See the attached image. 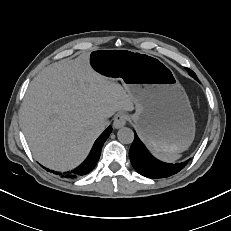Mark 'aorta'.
I'll return each mask as SVG.
<instances>
[{
	"label": "aorta",
	"mask_w": 231,
	"mask_h": 231,
	"mask_svg": "<svg viewBox=\"0 0 231 231\" xmlns=\"http://www.w3.org/2000/svg\"><path fill=\"white\" fill-rule=\"evenodd\" d=\"M118 140L123 144H130L134 140V132L132 129L122 127L117 133Z\"/></svg>",
	"instance_id": "aorta-1"
}]
</instances>
